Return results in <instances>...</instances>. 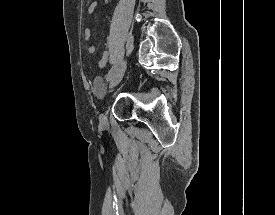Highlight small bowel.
I'll return each instance as SVG.
<instances>
[{"label":"small bowel","instance_id":"c3829d8e","mask_svg":"<svg viewBox=\"0 0 275 215\" xmlns=\"http://www.w3.org/2000/svg\"><path fill=\"white\" fill-rule=\"evenodd\" d=\"M108 0H102L101 5L105 6L107 4ZM100 5L99 0H95L91 3L88 4L87 6V12L88 14H92L95 9ZM84 42H85V46H86V50L88 53L90 54H94L96 52V45L92 43V34H91V30L89 27L85 28L84 31ZM108 56H109V51L105 50L103 52V57L102 59L99 61V67H104L107 64V60H108Z\"/></svg>","mask_w":275,"mask_h":215}]
</instances>
